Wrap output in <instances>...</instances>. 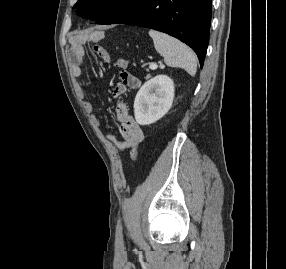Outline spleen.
<instances>
[{
    "instance_id": "obj_1",
    "label": "spleen",
    "mask_w": 286,
    "mask_h": 269,
    "mask_svg": "<svg viewBox=\"0 0 286 269\" xmlns=\"http://www.w3.org/2000/svg\"><path fill=\"white\" fill-rule=\"evenodd\" d=\"M149 35L153 39L156 51L164 57L166 65L182 68L190 76H195L197 59L187 45L159 31L150 30Z\"/></svg>"
}]
</instances>
